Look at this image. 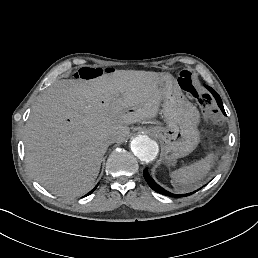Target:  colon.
Instances as JSON below:
<instances>
[{
	"instance_id": "obj_1",
	"label": "colon",
	"mask_w": 258,
	"mask_h": 258,
	"mask_svg": "<svg viewBox=\"0 0 258 258\" xmlns=\"http://www.w3.org/2000/svg\"><path fill=\"white\" fill-rule=\"evenodd\" d=\"M112 68L83 67L74 72L73 77L80 80H95L104 74L113 73ZM180 81L183 88L194 98L200 105L206 109H212V98L210 94L200 89L198 82L191 71H184L180 75Z\"/></svg>"
}]
</instances>
